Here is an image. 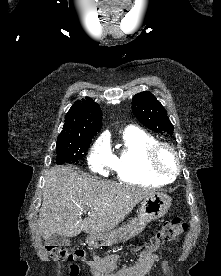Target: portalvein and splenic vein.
Here are the masks:
<instances>
[{"mask_svg":"<svg viewBox=\"0 0 221 276\" xmlns=\"http://www.w3.org/2000/svg\"><path fill=\"white\" fill-rule=\"evenodd\" d=\"M88 211V213H90V210H85L84 212H87Z\"/></svg>","mask_w":221,"mask_h":276,"instance_id":"18ae733b","label":"portal vein and splenic vein"}]
</instances>
